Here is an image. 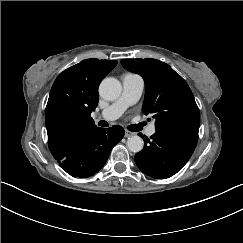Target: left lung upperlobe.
I'll return each instance as SVG.
<instances>
[{"label": "left lung upper lobe", "instance_id": "5c2ea615", "mask_svg": "<svg viewBox=\"0 0 243 243\" xmlns=\"http://www.w3.org/2000/svg\"><path fill=\"white\" fill-rule=\"evenodd\" d=\"M121 64L127 70L143 77V113L153 116L155 130H178L198 134L200 112L191 89L178 73L156 59H123Z\"/></svg>", "mask_w": 243, "mask_h": 243}]
</instances>
